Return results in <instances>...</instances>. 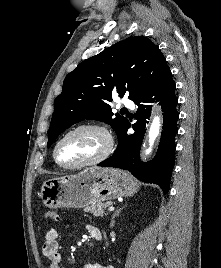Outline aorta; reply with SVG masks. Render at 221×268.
<instances>
[{
	"label": "aorta",
	"mask_w": 221,
	"mask_h": 268,
	"mask_svg": "<svg viewBox=\"0 0 221 268\" xmlns=\"http://www.w3.org/2000/svg\"><path fill=\"white\" fill-rule=\"evenodd\" d=\"M160 127H161L160 118L158 116H155L150 126V130L148 134L149 147L145 150L146 155L152 151V147L160 134Z\"/></svg>",
	"instance_id": "1"
}]
</instances>
